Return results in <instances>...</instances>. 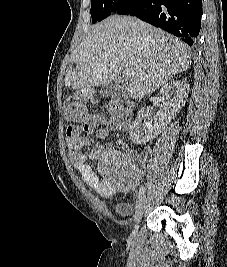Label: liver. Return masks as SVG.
<instances>
[{"mask_svg":"<svg viewBox=\"0 0 227 267\" xmlns=\"http://www.w3.org/2000/svg\"><path fill=\"white\" fill-rule=\"evenodd\" d=\"M191 65L189 47L180 39L128 16L113 15L96 24L71 55L65 86L103 87L124 68L134 71L125 90L143 98Z\"/></svg>","mask_w":227,"mask_h":267,"instance_id":"6515ba94","label":"liver"}]
</instances>
